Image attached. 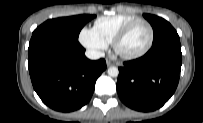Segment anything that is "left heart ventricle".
Returning <instances> with one entry per match:
<instances>
[{
    "instance_id": "left-heart-ventricle-1",
    "label": "left heart ventricle",
    "mask_w": 203,
    "mask_h": 123,
    "mask_svg": "<svg viewBox=\"0 0 203 123\" xmlns=\"http://www.w3.org/2000/svg\"><path fill=\"white\" fill-rule=\"evenodd\" d=\"M149 29L145 24L136 25L120 44L124 53H136L142 50L149 40Z\"/></svg>"
}]
</instances>
